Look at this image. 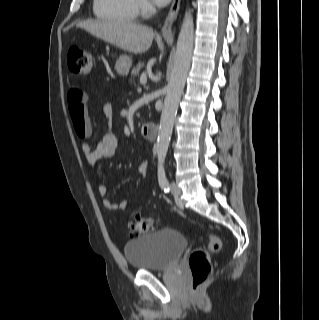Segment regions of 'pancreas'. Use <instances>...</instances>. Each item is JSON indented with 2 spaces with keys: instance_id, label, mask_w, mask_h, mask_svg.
I'll return each instance as SVG.
<instances>
[{
  "instance_id": "cf45deb5",
  "label": "pancreas",
  "mask_w": 319,
  "mask_h": 320,
  "mask_svg": "<svg viewBox=\"0 0 319 320\" xmlns=\"http://www.w3.org/2000/svg\"><path fill=\"white\" fill-rule=\"evenodd\" d=\"M143 65H144V64L139 63L136 67H134V68L132 69V72H131V80H132L133 77H136V76L139 75V71H140V69L143 67Z\"/></svg>"
}]
</instances>
